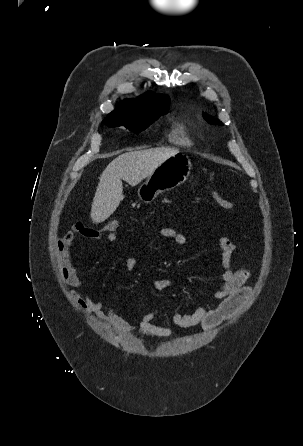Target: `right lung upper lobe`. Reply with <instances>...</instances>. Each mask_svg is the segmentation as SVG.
<instances>
[{"instance_id":"cb5924a9","label":"right lung upper lobe","mask_w":303,"mask_h":446,"mask_svg":"<svg viewBox=\"0 0 303 446\" xmlns=\"http://www.w3.org/2000/svg\"><path fill=\"white\" fill-rule=\"evenodd\" d=\"M170 99L166 95L147 92L137 99H127L122 101L114 113L139 115L153 111L158 107L169 106Z\"/></svg>"}]
</instances>
